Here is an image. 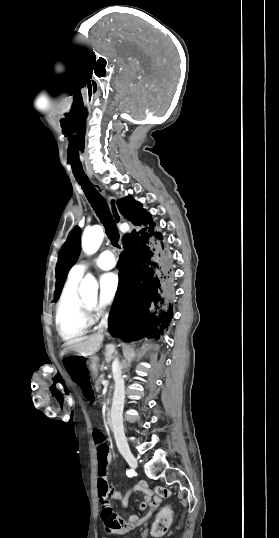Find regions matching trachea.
Wrapping results in <instances>:
<instances>
[{"label":"trachea","mask_w":279,"mask_h":538,"mask_svg":"<svg viewBox=\"0 0 279 538\" xmlns=\"http://www.w3.org/2000/svg\"><path fill=\"white\" fill-rule=\"evenodd\" d=\"M75 179L83 189L89 203L94 209L100 222L103 224L106 231V235L111 241V244L115 247H119L118 241L120 235L115 227L113 217L111 215L105 198L100 195V193L96 190V188L90 182L87 176H75Z\"/></svg>","instance_id":"3493384b"}]
</instances>
